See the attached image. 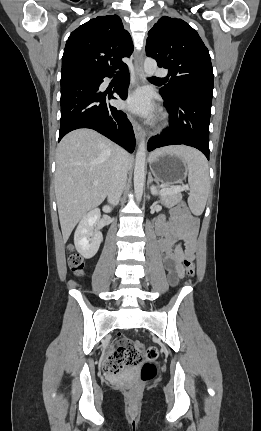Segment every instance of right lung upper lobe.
Returning <instances> with one entry per match:
<instances>
[{
	"label": "right lung upper lobe",
	"instance_id": "obj_1",
	"mask_svg": "<svg viewBox=\"0 0 261 431\" xmlns=\"http://www.w3.org/2000/svg\"><path fill=\"white\" fill-rule=\"evenodd\" d=\"M133 51L130 34L117 15L99 16L84 23L69 36L62 57L61 73L114 72L126 67L122 58Z\"/></svg>",
	"mask_w": 261,
	"mask_h": 431
}]
</instances>
